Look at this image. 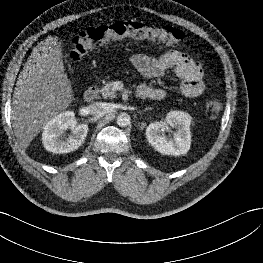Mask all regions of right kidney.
I'll use <instances>...</instances> for the list:
<instances>
[{
    "mask_svg": "<svg viewBox=\"0 0 263 263\" xmlns=\"http://www.w3.org/2000/svg\"><path fill=\"white\" fill-rule=\"evenodd\" d=\"M71 129L72 134L65 140L62 139L63 131ZM88 125L75 123V114L66 111L54 116L45 125L42 140L46 150L52 153H69L81 146L87 136Z\"/></svg>",
    "mask_w": 263,
    "mask_h": 263,
    "instance_id": "ca27d5eb",
    "label": "right kidney"
}]
</instances>
